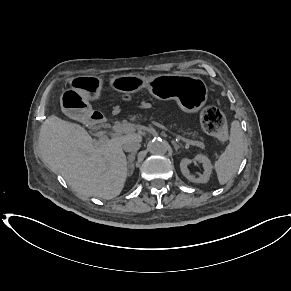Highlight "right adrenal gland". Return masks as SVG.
Returning <instances> with one entry per match:
<instances>
[{
	"mask_svg": "<svg viewBox=\"0 0 291 291\" xmlns=\"http://www.w3.org/2000/svg\"><path fill=\"white\" fill-rule=\"evenodd\" d=\"M135 155H136V152H133V153L129 154L127 157V168H128L130 175H132L133 171H134V163L133 162L135 160Z\"/></svg>",
	"mask_w": 291,
	"mask_h": 291,
	"instance_id": "1",
	"label": "right adrenal gland"
}]
</instances>
